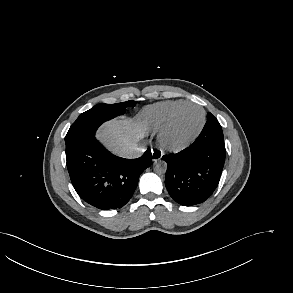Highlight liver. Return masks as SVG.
Segmentation results:
<instances>
[{
  "mask_svg": "<svg viewBox=\"0 0 293 293\" xmlns=\"http://www.w3.org/2000/svg\"><path fill=\"white\" fill-rule=\"evenodd\" d=\"M146 133L147 127L143 122L114 119L99 129L98 137L110 151L122 156L125 149L137 145Z\"/></svg>",
  "mask_w": 293,
  "mask_h": 293,
  "instance_id": "obj_1",
  "label": "liver"
}]
</instances>
